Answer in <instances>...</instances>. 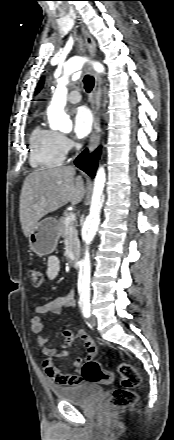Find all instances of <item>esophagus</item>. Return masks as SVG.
I'll use <instances>...</instances> for the list:
<instances>
[{
  "mask_svg": "<svg viewBox=\"0 0 174 440\" xmlns=\"http://www.w3.org/2000/svg\"><path fill=\"white\" fill-rule=\"evenodd\" d=\"M81 31L84 36L85 44L89 51V54L94 59L96 56L94 40L83 26L81 27ZM94 77H95V85L93 88V100H92L94 124H93V131L89 141L90 152L94 151L98 147L101 138V127H100V105H101V94H102L101 78L97 73H95Z\"/></svg>",
  "mask_w": 174,
  "mask_h": 440,
  "instance_id": "obj_1",
  "label": "esophagus"
}]
</instances>
